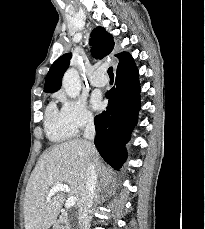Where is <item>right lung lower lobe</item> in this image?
<instances>
[{
  "label": "right lung lower lobe",
  "instance_id": "right-lung-lower-lobe-1",
  "mask_svg": "<svg viewBox=\"0 0 205 229\" xmlns=\"http://www.w3.org/2000/svg\"><path fill=\"white\" fill-rule=\"evenodd\" d=\"M108 106L94 119L95 146L114 169L126 160L125 144L130 139L140 110L138 70L133 62L117 67L115 86L106 93Z\"/></svg>",
  "mask_w": 205,
  "mask_h": 229
}]
</instances>
